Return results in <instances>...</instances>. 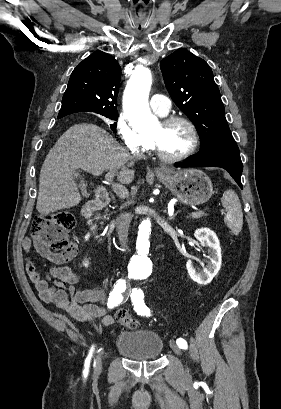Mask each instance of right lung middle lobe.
<instances>
[{
  "mask_svg": "<svg viewBox=\"0 0 281 409\" xmlns=\"http://www.w3.org/2000/svg\"><path fill=\"white\" fill-rule=\"evenodd\" d=\"M101 115L110 118L112 120H117L118 118V113H101Z\"/></svg>",
  "mask_w": 281,
  "mask_h": 409,
  "instance_id": "dd1d6c3e",
  "label": "right lung middle lobe"
}]
</instances>
